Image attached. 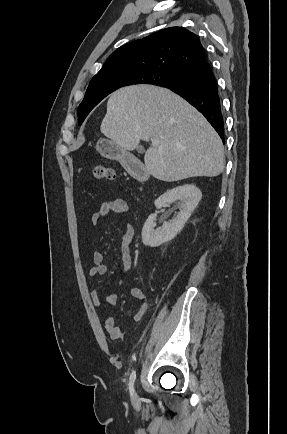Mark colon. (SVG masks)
Masks as SVG:
<instances>
[{
    "mask_svg": "<svg viewBox=\"0 0 287 434\" xmlns=\"http://www.w3.org/2000/svg\"><path fill=\"white\" fill-rule=\"evenodd\" d=\"M93 175L97 180H112L115 178L113 169L106 165L95 166Z\"/></svg>",
    "mask_w": 287,
    "mask_h": 434,
    "instance_id": "1",
    "label": "colon"
}]
</instances>
